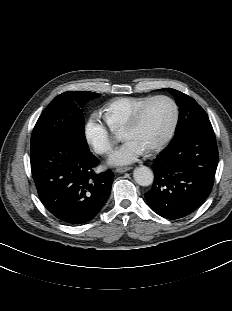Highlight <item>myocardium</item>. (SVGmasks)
Returning <instances> with one entry per match:
<instances>
[{
	"label": "myocardium",
	"mask_w": 232,
	"mask_h": 311,
	"mask_svg": "<svg viewBox=\"0 0 232 311\" xmlns=\"http://www.w3.org/2000/svg\"><path fill=\"white\" fill-rule=\"evenodd\" d=\"M158 100H166L170 103V105L172 106V110H173V116H172L170 126L167 132L165 133V135L163 136V138L158 143H156L155 145L147 149V152L149 153L157 152L161 150L162 148H164L166 144L172 138L175 132V129L177 127L178 119H179V109H178L176 102L171 97L166 96V95H156V96L149 98L137 108V110L134 112L130 120L127 122V124L123 128V133L135 128L141 121L146 109L150 106V104Z\"/></svg>",
	"instance_id": "1"
}]
</instances>
